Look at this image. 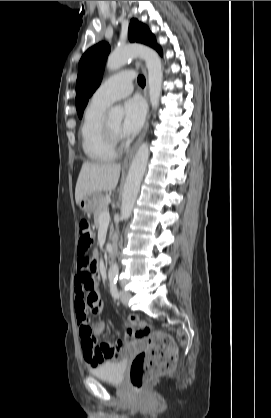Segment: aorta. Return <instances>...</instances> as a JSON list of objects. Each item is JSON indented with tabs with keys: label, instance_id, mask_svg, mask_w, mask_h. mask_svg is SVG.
I'll return each mask as SVG.
<instances>
[{
	"label": "aorta",
	"instance_id": "1",
	"mask_svg": "<svg viewBox=\"0 0 271 418\" xmlns=\"http://www.w3.org/2000/svg\"><path fill=\"white\" fill-rule=\"evenodd\" d=\"M139 57L146 63L148 70V86L150 103L154 110L159 105L162 92L163 71L162 63L157 52L144 45H128L123 48L115 49L108 57L106 67L109 71H115L126 64L131 59ZM123 110L113 107L108 112V120L120 123L123 119ZM149 159V146L144 142L135 154L123 189L121 217L128 220L132 214L134 204L139 192L140 184L143 179L147 162ZM119 272L118 264L115 262L110 266L109 279H114Z\"/></svg>",
	"mask_w": 271,
	"mask_h": 418
}]
</instances>
